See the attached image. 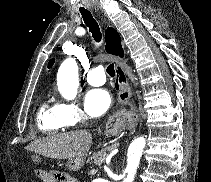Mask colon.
Masks as SVG:
<instances>
[{"label":"colon","instance_id":"1","mask_svg":"<svg viewBox=\"0 0 211 182\" xmlns=\"http://www.w3.org/2000/svg\"><path fill=\"white\" fill-rule=\"evenodd\" d=\"M44 180L45 182H68L69 176L64 172L56 170L45 171Z\"/></svg>","mask_w":211,"mask_h":182}]
</instances>
